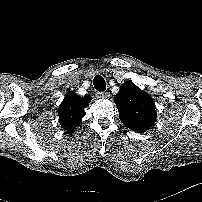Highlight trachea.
<instances>
[{"label":"trachea","mask_w":202,"mask_h":202,"mask_svg":"<svg viewBox=\"0 0 202 202\" xmlns=\"http://www.w3.org/2000/svg\"><path fill=\"white\" fill-rule=\"evenodd\" d=\"M93 84L96 90L105 91L106 90V82L104 78L100 75H96L93 79Z\"/></svg>","instance_id":"obj_1"}]
</instances>
